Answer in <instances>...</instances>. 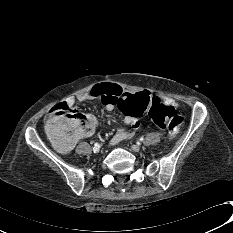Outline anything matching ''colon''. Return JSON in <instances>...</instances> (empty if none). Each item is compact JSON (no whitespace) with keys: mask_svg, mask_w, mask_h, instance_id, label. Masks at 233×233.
<instances>
[{"mask_svg":"<svg viewBox=\"0 0 233 233\" xmlns=\"http://www.w3.org/2000/svg\"><path fill=\"white\" fill-rule=\"evenodd\" d=\"M93 98L100 103L119 108L126 115L136 116L148 109V118L160 128L174 136L180 131L182 117L176 113V106H166L147 89L130 92L110 82L97 83L92 90ZM94 121L91 116L77 112L66 104H57L51 110L47 121L49 135L60 140L82 139L92 133Z\"/></svg>","mask_w":233,"mask_h":233,"instance_id":"5ec220e1","label":"colon"}]
</instances>
